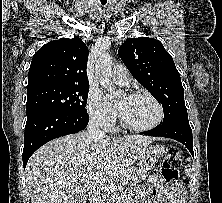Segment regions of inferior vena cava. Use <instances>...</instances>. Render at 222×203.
<instances>
[{"label":"inferior vena cava","instance_id":"1","mask_svg":"<svg viewBox=\"0 0 222 203\" xmlns=\"http://www.w3.org/2000/svg\"><path fill=\"white\" fill-rule=\"evenodd\" d=\"M87 131L89 133L90 136L94 137V138H105V132L102 131L99 127V123L97 122V120L92 117L89 121V124L87 126Z\"/></svg>","mask_w":222,"mask_h":203}]
</instances>
